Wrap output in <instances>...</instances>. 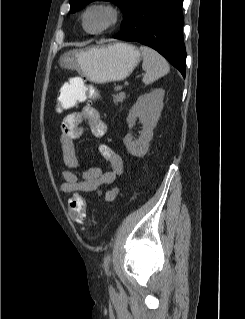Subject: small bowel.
Returning a JSON list of instances; mask_svg holds the SVG:
<instances>
[{
	"label": "small bowel",
	"instance_id": "1",
	"mask_svg": "<svg viewBox=\"0 0 245 319\" xmlns=\"http://www.w3.org/2000/svg\"><path fill=\"white\" fill-rule=\"evenodd\" d=\"M82 84L83 79L81 77H72L63 84L61 90L67 92V97L72 98ZM58 101L63 102L61 99H58ZM82 123H85L92 135L97 138H102L107 131V125L101 114L91 105L72 111L63 118L60 125L59 141L67 168L63 172L64 183L61 185V191L64 193L80 192L101 195V186L114 183L117 177L123 173V162L111 146L101 144L99 150L102 157L107 161L109 169L103 171L92 167L79 174L77 172L79 159L75 141L84 132ZM118 192L117 187H112L103 195V198L105 201H112L116 198Z\"/></svg>",
	"mask_w": 245,
	"mask_h": 319
}]
</instances>
